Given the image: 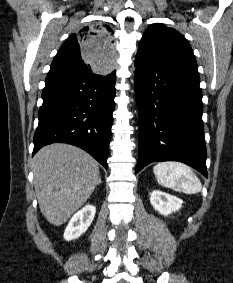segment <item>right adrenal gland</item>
Returning <instances> with one entry per match:
<instances>
[{
    "mask_svg": "<svg viewBox=\"0 0 233 283\" xmlns=\"http://www.w3.org/2000/svg\"><path fill=\"white\" fill-rule=\"evenodd\" d=\"M99 183H101V179L99 178Z\"/></svg>",
    "mask_w": 233,
    "mask_h": 283,
    "instance_id": "obj_1",
    "label": "right adrenal gland"
}]
</instances>
